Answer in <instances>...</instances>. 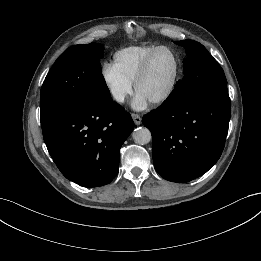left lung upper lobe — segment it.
Masks as SVG:
<instances>
[{"mask_svg":"<svg viewBox=\"0 0 261 261\" xmlns=\"http://www.w3.org/2000/svg\"><path fill=\"white\" fill-rule=\"evenodd\" d=\"M174 43L185 47L187 58L183 61L184 77L169 97L172 101L183 103L200 91L226 85L223 69L202 44L194 40Z\"/></svg>","mask_w":261,"mask_h":261,"instance_id":"obj_1","label":"left lung upper lobe"}]
</instances>
